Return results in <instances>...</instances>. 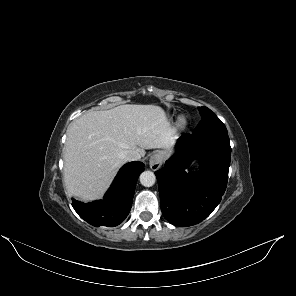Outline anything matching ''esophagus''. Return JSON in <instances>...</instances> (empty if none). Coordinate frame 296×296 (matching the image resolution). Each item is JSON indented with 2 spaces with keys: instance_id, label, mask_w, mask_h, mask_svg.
Returning <instances> with one entry per match:
<instances>
[{
  "instance_id": "34e87169",
  "label": "esophagus",
  "mask_w": 296,
  "mask_h": 296,
  "mask_svg": "<svg viewBox=\"0 0 296 296\" xmlns=\"http://www.w3.org/2000/svg\"><path fill=\"white\" fill-rule=\"evenodd\" d=\"M163 162V157L160 153H155L154 155L151 156L150 161H149V166L152 170H158Z\"/></svg>"
}]
</instances>
